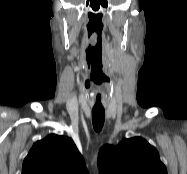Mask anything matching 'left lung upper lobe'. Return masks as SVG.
Masks as SVG:
<instances>
[{"mask_svg":"<svg viewBox=\"0 0 187 174\" xmlns=\"http://www.w3.org/2000/svg\"><path fill=\"white\" fill-rule=\"evenodd\" d=\"M98 167L100 174H167L158 151L140 137L123 139L117 146H104Z\"/></svg>","mask_w":187,"mask_h":174,"instance_id":"1","label":"left lung upper lobe"}]
</instances>
